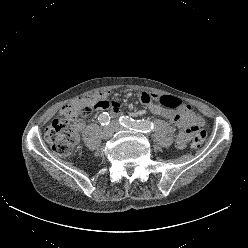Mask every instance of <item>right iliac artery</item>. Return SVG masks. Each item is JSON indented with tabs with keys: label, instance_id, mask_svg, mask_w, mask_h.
Masks as SVG:
<instances>
[{
	"label": "right iliac artery",
	"instance_id": "right-iliac-artery-1",
	"mask_svg": "<svg viewBox=\"0 0 248 248\" xmlns=\"http://www.w3.org/2000/svg\"><path fill=\"white\" fill-rule=\"evenodd\" d=\"M98 120L102 126H106L110 123V116L107 112H103L99 115Z\"/></svg>",
	"mask_w": 248,
	"mask_h": 248
}]
</instances>
